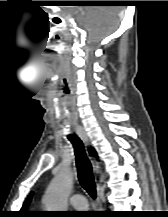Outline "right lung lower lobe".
<instances>
[{
    "label": "right lung lower lobe",
    "mask_w": 168,
    "mask_h": 217,
    "mask_svg": "<svg viewBox=\"0 0 168 217\" xmlns=\"http://www.w3.org/2000/svg\"><path fill=\"white\" fill-rule=\"evenodd\" d=\"M106 213H107V214L104 215L105 217H111V216H110L111 214H109V213H110L109 211H107Z\"/></svg>",
    "instance_id": "right-lung-lower-lobe-1"
}]
</instances>
